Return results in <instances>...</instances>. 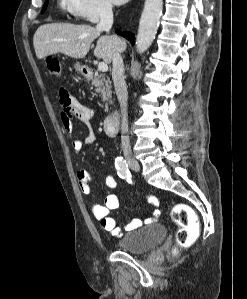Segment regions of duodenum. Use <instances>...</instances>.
I'll return each mask as SVG.
<instances>
[{
    "instance_id": "obj_1",
    "label": "duodenum",
    "mask_w": 247,
    "mask_h": 299,
    "mask_svg": "<svg viewBox=\"0 0 247 299\" xmlns=\"http://www.w3.org/2000/svg\"><path fill=\"white\" fill-rule=\"evenodd\" d=\"M85 73L87 75H90V71L87 68H85ZM118 127H119V113L117 111H114L105 117L104 130L108 135L113 136L117 133Z\"/></svg>"
}]
</instances>
